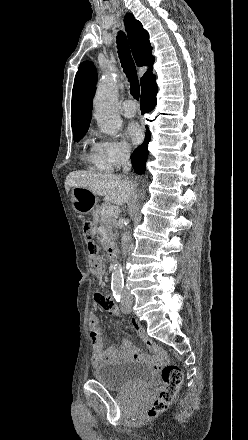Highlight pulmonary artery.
<instances>
[{"label": "pulmonary artery", "instance_id": "obj_1", "mask_svg": "<svg viewBox=\"0 0 248 440\" xmlns=\"http://www.w3.org/2000/svg\"><path fill=\"white\" fill-rule=\"evenodd\" d=\"M122 114L125 117H133L137 112V107L132 100H126L122 104Z\"/></svg>", "mask_w": 248, "mask_h": 440}]
</instances>
